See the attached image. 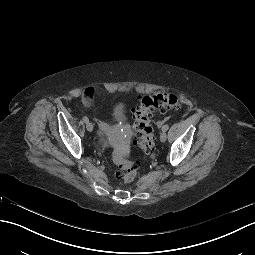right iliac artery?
I'll return each instance as SVG.
<instances>
[{"label": "right iliac artery", "mask_w": 255, "mask_h": 255, "mask_svg": "<svg viewBox=\"0 0 255 255\" xmlns=\"http://www.w3.org/2000/svg\"><path fill=\"white\" fill-rule=\"evenodd\" d=\"M83 121H84L85 123H88V122H89V119L85 116V117H83Z\"/></svg>", "instance_id": "82829eb1"}]
</instances>
